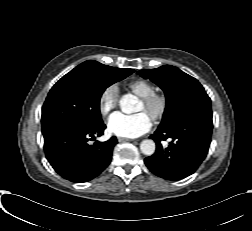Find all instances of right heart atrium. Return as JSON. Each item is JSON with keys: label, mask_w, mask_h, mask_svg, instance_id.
Masks as SVG:
<instances>
[{"label": "right heart atrium", "mask_w": 252, "mask_h": 231, "mask_svg": "<svg viewBox=\"0 0 252 231\" xmlns=\"http://www.w3.org/2000/svg\"><path fill=\"white\" fill-rule=\"evenodd\" d=\"M119 99V89L116 84L106 86L98 99V108L102 116L109 115L117 106Z\"/></svg>", "instance_id": "right-heart-atrium-1"}]
</instances>
